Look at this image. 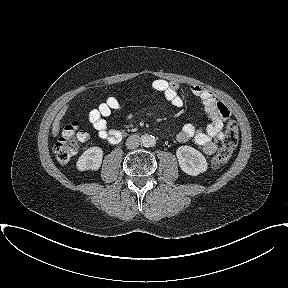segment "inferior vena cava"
<instances>
[{
  "instance_id": "1",
  "label": "inferior vena cava",
  "mask_w": 288,
  "mask_h": 288,
  "mask_svg": "<svg viewBox=\"0 0 288 288\" xmlns=\"http://www.w3.org/2000/svg\"><path fill=\"white\" fill-rule=\"evenodd\" d=\"M141 139L136 135H131L126 140V147L128 149H135L140 145Z\"/></svg>"
}]
</instances>
